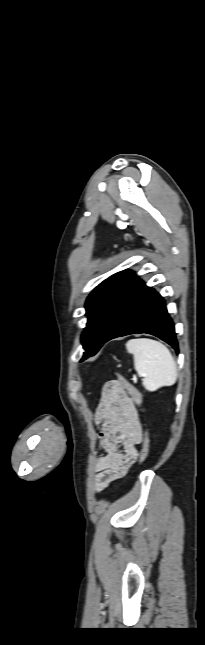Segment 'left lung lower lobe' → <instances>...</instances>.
Returning <instances> with one entry per match:
<instances>
[{"label": "left lung lower lobe", "mask_w": 205, "mask_h": 645, "mask_svg": "<svg viewBox=\"0 0 205 645\" xmlns=\"http://www.w3.org/2000/svg\"><path fill=\"white\" fill-rule=\"evenodd\" d=\"M141 333L162 339L178 352L174 323L163 297L131 272L113 304L102 345L117 337Z\"/></svg>", "instance_id": "0a47b994"}]
</instances>
